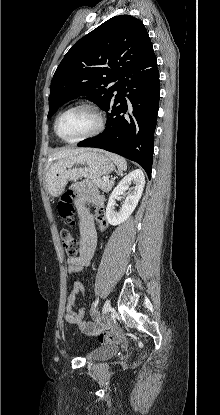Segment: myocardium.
<instances>
[{"label": "myocardium", "mask_w": 220, "mask_h": 415, "mask_svg": "<svg viewBox=\"0 0 220 415\" xmlns=\"http://www.w3.org/2000/svg\"><path fill=\"white\" fill-rule=\"evenodd\" d=\"M77 109H87L92 111L96 117H97V126L95 127V129L93 131H91L90 133L81 136L79 138L73 139V140H68V139H64L60 136L59 132H58V123L60 121V119L68 112L73 111V110H77ZM105 128V117L103 114V111L101 110V108L92 102H82V103H78L76 105H73L69 108H67L66 110H64L63 112H61L58 117L56 118L55 122H54V132L56 134V136L61 139L62 141L66 142V143H70V144H74V143H78L81 142L83 140L89 139V138H93L97 135H99L100 133H102V131Z\"/></svg>", "instance_id": "myocardium-1"}]
</instances>
